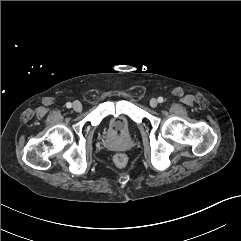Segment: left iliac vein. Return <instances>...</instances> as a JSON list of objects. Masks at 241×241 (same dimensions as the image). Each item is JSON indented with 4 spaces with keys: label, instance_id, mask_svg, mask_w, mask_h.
Wrapping results in <instances>:
<instances>
[{
    "label": "left iliac vein",
    "instance_id": "4c4485c4",
    "mask_svg": "<svg viewBox=\"0 0 241 241\" xmlns=\"http://www.w3.org/2000/svg\"><path fill=\"white\" fill-rule=\"evenodd\" d=\"M157 105H158L157 99L152 98V99L150 100V106H151V107H156Z\"/></svg>",
    "mask_w": 241,
    "mask_h": 241
}]
</instances>
